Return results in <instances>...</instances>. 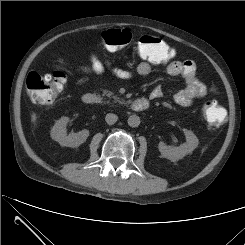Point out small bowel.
I'll return each instance as SVG.
<instances>
[{
	"mask_svg": "<svg viewBox=\"0 0 245 245\" xmlns=\"http://www.w3.org/2000/svg\"><path fill=\"white\" fill-rule=\"evenodd\" d=\"M90 61V67H78L77 70L91 75L101 74L105 69L111 68L109 63L102 62L95 55L91 56ZM166 70L169 75L181 77L185 82V87L173 95V100L178 105L184 107L192 106L196 101L202 99L211 91L209 87L199 80L196 65L190 60L172 61L167 65ZM151 71L152 66L148 62H141L137 66L135 73L123 69L112 68V72L121 79H132L134 76L144 78L148 76ZM150 96L153 99L161 97L162 89L160 87H156L151 92Z\"/></svg>",
	"mask_w": 245,
	"mask_h": 245,
	"instance_id": "small-bowel-1",
	"label": "small bowel"
}]
</instances>
